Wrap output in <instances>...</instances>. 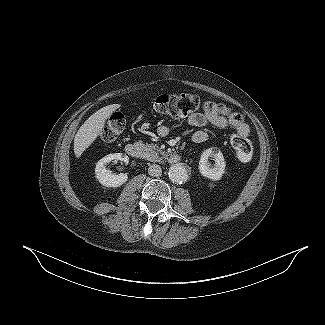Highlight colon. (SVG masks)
Masks as SVG:
<instances>
[{"label": "colon", "mask_w": 325, "mask_h": 325, "mask_svg": "<svg viewBox=\"0 0 325 325\" xmlns=\"http://www.w3.org/2000/svg\"><path fill=\"white\" fill-rule=\"evenodd\" d=\"M202 104L200 96L191 93L162 94L151 102V109L156 113L172 119L187 117L195 113ZM125 117L121 113H114L109 118L102 132L104 141H113L124 130ZM232 147L240 162H248L253 156V146L248 139L234 134L231 138Z\"/></svg>", "instance_id": "colon-1"}]
</instances>
